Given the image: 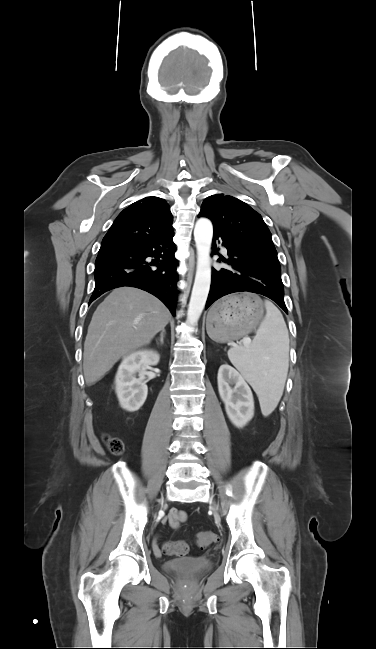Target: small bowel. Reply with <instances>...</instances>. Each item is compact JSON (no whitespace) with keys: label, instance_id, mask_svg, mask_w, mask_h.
I'll return each mask as SVG.
<instances>
[{"label":"small bowel","instance_id":"c3829d8e","mask_svg":"<svg viewBox=\"0 0 376 649\" xmlns=\"http://www.w3.org/2000/svg\"><path fill=\"white\" fill-rule=\"evenodd\" d=\"M186 519L187 514L185 511L173 508L169 513L168 522L172 528L176 529L181 523L185 522ZM154 552L157 556L161 555V550L159 548H155Z\"/></svg>","mask_w":376,"mask_h":649}]
</instances>
